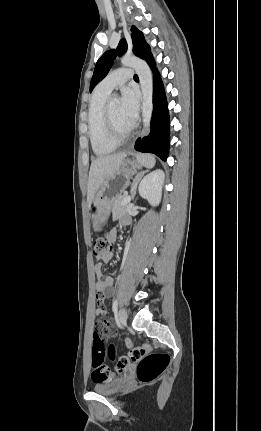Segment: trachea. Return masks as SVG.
<instances>
[{"label": "trachea", "mask_w": 261, "mask_h": 431, "mask_svg": "<svg viewBox=\"0 0 261 431\" xmlns=\"http://www.w3.org/2000/svg\"><path fill=\"white\" fill-rule=\"evenodd\" d=\"M134 79H138V76H137V75H134Z\"/></svg>", "instance_id": "obj_1"}]
</instances>
